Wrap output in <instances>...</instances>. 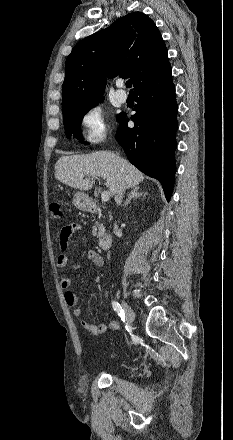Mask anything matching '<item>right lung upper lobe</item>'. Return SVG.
<instances>
[{
	"label": "right lung upper lobe",
	"instance_id": "obj_1",
	"mask_svg": "<svg viewBox=\"0 0 233 440\" xmlns=\"http://www.w3.org/2000/svg\"><path fill=\"white\" fill-rule=\"evenodd\" d=\"M170 66L155 23L134 12L75 45L65 64L62 109L103 98L106 78L130 77L134 89Z\"/></svg>",
	"mask_w": 233,
	"mask_h": 440
}]
</instances>
